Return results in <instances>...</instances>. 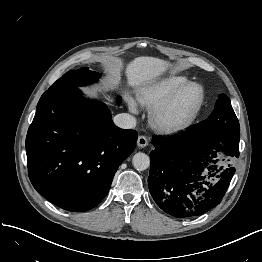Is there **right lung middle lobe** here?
<instances>
[{
    "instance_id": "obj_1",
    "label": "right lung middle lobe",
    "mask_w": 262,
    "mask_h": 262,
    "mask_svg": "<svg viewBox=\"0 0 262 262\" xmlns=\"http://www.w3.org/2000/svg\"><path fill=\"white\" fill-rule=\"evenodd\" d=\"M101 74L90 71L87 67H83L76 71H69L58 79L50 88V91L62 90L71 87H79L86 84L93 83ZM121 100V99H119Z\"/></svg>"
}]
</instances>
